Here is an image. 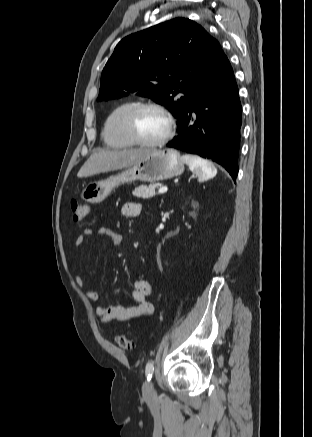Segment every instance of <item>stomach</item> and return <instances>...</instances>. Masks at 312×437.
<instances>
[{"label":"stomach","instance_id":"stomach-1","mask_svg":"<svg viewBox=\"0 0 312 437\" xmlns=\"http://www.w3.org/2000/svg\"><path fill=\"white\" fill-rule=\"evenodd\" d=\"M184 172V162L175 149L151 150L144 158L103 181L90 182L81 197L91 204L104 201L121 184L137 180L156 182L179 176Z\"/></svg>","mask_w":312,"mask_h":437}]
</instances>
